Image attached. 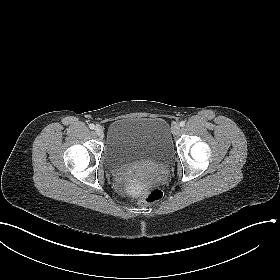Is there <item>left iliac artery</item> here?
Returning a JSON list of instances; mask_svg holds the SVG:
<instances>
[{
  "label": "left iliac artery",
  "mask_w": 280,
  "mask_h": 280,
  "mask_svg": "<svg viewBox=\"0 0 280 280\" xmlns=\"http://www.w3.org/2000/svg\"><path fill=\"white\" fill-rule=\"evenodd\" d=\"M180 126H181V127L185 126V121H181V122H180Z\"/></svg>",
  "instance_id": "obj_1"
}]
</instances>
